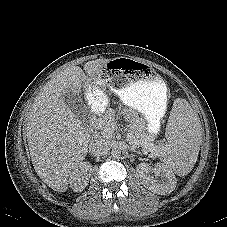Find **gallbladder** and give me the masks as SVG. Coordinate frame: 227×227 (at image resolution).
<instances>
[{"mask_svg": "<svg viewBox=\"0 0 227 227\" xmlns=\"http://www.w3.org/2000/svg\"><path fill=\"white\" fill-rule=\"evenodd\" d=\"M64 103L70 110L80 119L84 120L85 116L89 113L88 107L84 104L82 99L72 91H68L63 96Z\"/></svg>", "mask_w": 227, "mask_h": 227, "instance_id": "gallbladder-1", "label": "gallbladder"}]
</instances>
